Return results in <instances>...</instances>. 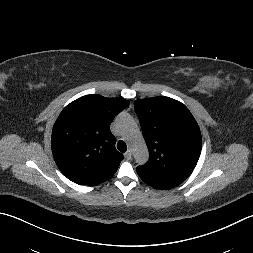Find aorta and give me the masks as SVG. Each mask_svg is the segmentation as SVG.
<instances>
[{
  "instance_id": "762f6f07",
  "label": "aorta",
  "mask_w": 253,
  "mask_h": 253,
  "mask_svg": "<svg viewBox=\"0 0 253 253\" xmlns=\"http://www.w3.org/2000/svg\"><path fill=\"white\" fill-rule=\"evenodd\" d=\"M118 126L126 134L136 161L140 164L145 163L149 156L148 150L134 120L130 116H122L118 120Z\"/></svg>"
}]
</instances>
